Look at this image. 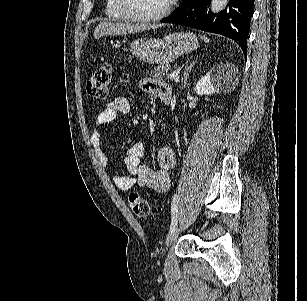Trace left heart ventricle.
<instances>
[{"instance_id": "obj_1", "label": "left heart ventricle", "mask_w": 307, "mask_h": 301, "mask_svg": "<svg viewBox=\"0 0 307 301\" xmlns=\"http://www.w3.org/2000/svg\"><path fill=\"white\" fill-rule=\"evenodd\" d=\"M126 4L125 13H154V11H161L165 2L164 0H132L124 1Z\"/></svg>"}]
</instances>
